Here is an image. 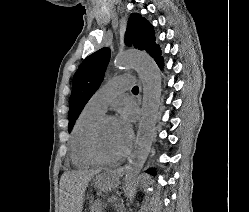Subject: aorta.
Segmentation results:
<instances>
[{
  "instance_id": "aorta-1",
  "label": "aorta",
  "mask_w": 249,
  "mask_h": 212,
  "mask_svg": "<svg viewBox=\"0 0 249 212\" xmlns=\"http://www.w3.org/2000/svg\"><path fill=\"white\" fill-rule=\"evenodd\" d=\"M116 67H133L143 84V104L136 138V146L125 167V192L130 189L140 173L152 145L161 97V74L153 58L139 51L124 52L116 56Z\"/></svg>"
}]
</instances>
